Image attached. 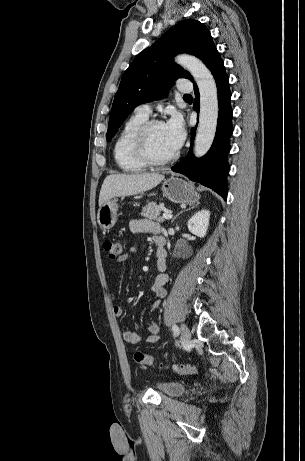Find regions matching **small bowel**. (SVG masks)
I'll return each instance as SVG.
<instances>
[{"label": "small bowel", "mask_w": 305, "mask_h": 461, "mask_svg": "<svg viewBox=\"0 0 305 461\" xmlns=\"http://www.w3.org/2000/svg\"><path fill=\"white\" fill-rule=\"evenodd\" d=\"M130 229L136 233H150L156 237L160 235V226L148 219H140V220H133L130 224ZM138 252V248L136 246H130L126 253L122 256L117 258L118 263H124L127 259L131 256H135ZM156 258H157V268L159 270V274L156 276L152 286L151 292L154 296L158 297L159 299L163 298L166 294V284L168 282V276L165 273L166 271V251L165 249L156 250ZM111 299L114 301L115 296L112 294ZM161 305L160 300H156L152 302L150 306V310L152 312L159 309ZM113 313L115 316L120 317L123 315V309L119 305L113 306ZM159 325L155 319H153L151 325L147 329V342L148 343H155L159 340ZM123 339L126 343L129 344H137L139 343L141 337L139 334L133 331H125L123 333Z\"/></svg>", "instance_id": "obj_1"}]
</instances>
